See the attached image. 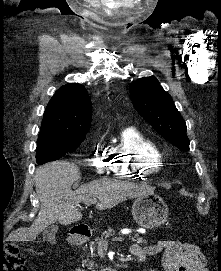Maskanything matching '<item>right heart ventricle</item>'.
<instances>
[{
  "instance_id": "e07e8e85",
  "label": "right heart ventricle",
  "mask_w": 221,
  "mask_h": 271,
  "mask_svg": "<svg viewBox=\"0 0 221 271\" xmlns=\"http://www.w3.org/2000/svg\"><path fill=\"white\" fill-rule=\"evenodd\" d=\"M118 147H122V151L128 154L107 158V163H116L110 164L112 176H118L119 179H150V172L155 176L158 166H162V161L158 160L163 159L164 151L153 138L145 135L120 138Z\"/></svg>"
}]
</instances>
